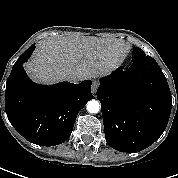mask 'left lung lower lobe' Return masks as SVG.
I'll return each instance as SVG.
<instances>
[{
	"mask_svg": "<svg viewBox=\"0 0 178 178\" xmlns=\"http://www.w3.org/2000/svg\"><path fill=\"white\" fill-rule=\"evenodd\" d=\"M97 99L106 141L121 152H139L152 145L166 129L172 107L167 79L152 57L102 78Z\"/></svg>",
	"mask_w": 178,
	"mask_h": 178,
	"instance_id": "obj_1",
	"label": "left lung lower lobe"
}]
</instances>
